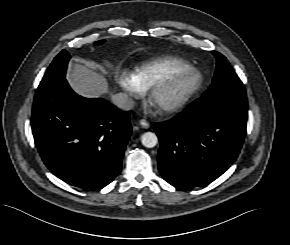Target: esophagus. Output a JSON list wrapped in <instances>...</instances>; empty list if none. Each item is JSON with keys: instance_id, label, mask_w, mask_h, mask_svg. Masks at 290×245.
Here are the masks:
<instances>
[{"instance_id": "obj_1", "label": "esophagus", "mask_w": 290, "mask_h": 245, "mask_svg": "<svg viewBox=\"0 0 290 245\" xmlns=\"http://www.w3.org/2000/svg\"><path fill=\"white\" fill-rule=\"evenodd\" d=\"M139 124L145 129H148L150 127V124L145 119L139 120Z\"/></svg>"}]
</instances>
